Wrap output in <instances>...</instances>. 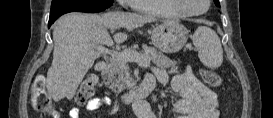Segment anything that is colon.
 <instances>
[{"label":"colon","instance_id":"1","mask_svg":"<svg viewBox=\"0 0 273 118\" xmlns=\"http://www.w3.org/2000/svg\"><path fill=\"white\" fill-rule=\"evenodd\" d=\"M201 78L212 87H219L222 83L221 78L214 72L201 69ZM45 80L36 78L31 89V102L35 109L43 110L49 113L54 112V107L50 95L46 91ZM98 84V77L95 74L89 75L80 85L75 94V100L79 105L88 102Z\"/></svg>","mask_w":273,"mask_h":118}]
</instances>
